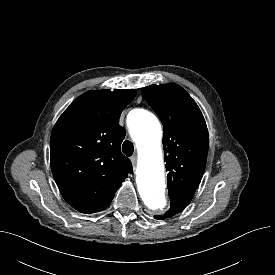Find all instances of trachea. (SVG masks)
<instances>
[{
  "label": "trachea",
  "instance_id": "3493384b",
  "mask_svg": "<svg viewBox=\"0 0 275 275\" xmlns=\"http://www.w3.org/2000/svg\"><path fill=\"white\" fill-rule=\"evenodd\" d=\"M122 150L125 155L131 156L134 152V146H133L132 142H130L128 140L124 141V143L122 145Z\"/></svg>",
  "mask_w": 275,
  "mask_h": 275
}]
</instances>
